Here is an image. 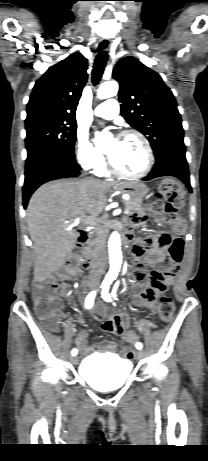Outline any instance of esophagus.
I'll return each instance as SVG.
<instances>
[{"mask_svg":"<svg viewBox=\"0 0 208 461\" xmlns=\"http://www.w3.org/2000/svg\"><path fill=\"white\" fill-rule=\"evenodd\" d=\"M99 47L103 50H109L110 41L109 40H101L99 43Z\"/></svg>","mask_w":208,"mask_h":461,"instance_id":"esophagus-1","label":"esophagus"}]
</instances>
